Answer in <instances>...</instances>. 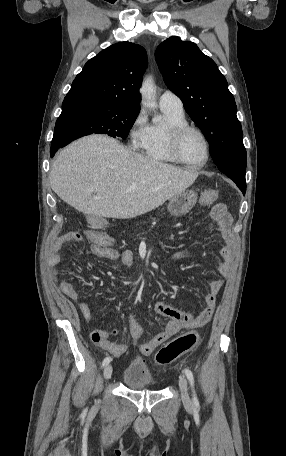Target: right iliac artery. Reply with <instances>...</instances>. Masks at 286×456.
I'll use <instances>...</instances> for the list:
<instances>
[{
	"instance_id": "82829eb1",
	"label": "right iliac artery",
	"mask_w": 286,
	"mask_h": 456,
	"mask_svg": "<svg viewBox=\"0 0 286 456\" xmlns=\"http://www.w3.org/2000/svg\"><path fill=\"white\" fill-rule=\"evenodd\" d=\"M111 357H106L103 361H102V367L108 365L111 361Z\"/></svg>"
}]
</instances>
